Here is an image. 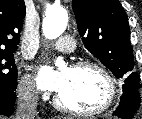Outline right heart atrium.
Masks as SVG:
<instances>
[{
  "label": "right heart atrium",
  "instance_id": "d8ad5b80",
  "mask_svg": "<svg viewBox=\"0 0 142 119\" xmlns=\"http://www.w3.org/2000/svg\"><path fill=\"white\" fill-rule=\"evenodd\" d=\"M18 92L26 100L34 101L38 96L37 89L29 75H24L18 83Z\"/></svg>",
  "mask_w": 142,
  "mask_h": 119
}]
</instances>
